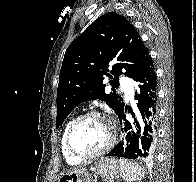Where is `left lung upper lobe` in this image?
Instances as JSON below:
<instances>
[{
	"label": "left lung upper lobe",
	"mask_w": 196,
	"mask_h": 182,
	"mask_svg": "<svg viewBox=\"0 0 196 182\" xmlns=\"http://www.w3.org/2000/svg\"><path fill=\"white\" fill-rule=\"evenodd\" d=\"M151 59L135 27L122 15L106 13L96 19L67 48L57 90L56 128L80 103L100 99L116 114L124 105L115 93L119 75L134 78ZM109 64L112 70L107 73ZM103 75L111 80L113 93L106 94Z\"/></svg>",
	"instance_id": "5c2ea615"
}]
</instances>
